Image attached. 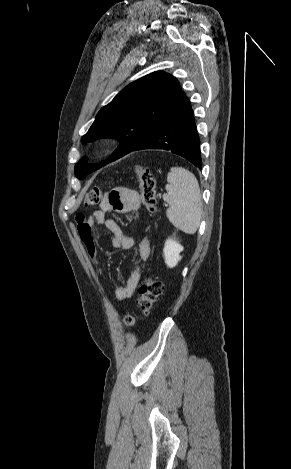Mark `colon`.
<instances>
[{
    "label": "colon",
    "mask_w": 291,
    "mask_h": 469,
    "mask_svg": "<svg viewBox=\"0 0 291 469\" xmlns=\"http://www.w3.org/2000/svg\"><path fill=\"white\" fill-rule=\"evenodd\" d=\"M137 181L140 187L141 200L145 209L153 214L156 210V181L151 171L144 166H136L134 169ZM103 198V191L100 187L90 189L86 196L84 203L86 206H94L98 204ZM86 234L85 229H82ZM163 291L162 283L153 278L145 277L139 283V296L136 301L137 313L131 314L124 312L122 323L125 327L134 326L140 319L147 317L154 305L158 302Z\"/></svg>",
    "instance_id": "1"
}]
</instances>
